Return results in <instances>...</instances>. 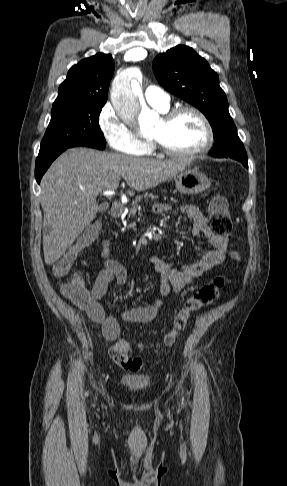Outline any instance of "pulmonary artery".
Listing matches in <instances>:
<instances>
[{"instance_id": "1", "label": "pulmonary artery", "mask_w": 287, "mask_h": 486, "mask_svg": "<svg viewBox=\"0 0 287 486\" xmlns=\"http://www.w3.org/2000/svg\"><path fill=\"white\" fill-rule=\"evenodd\" d=\"M146 101L159 110H166L170 105L169 95L161 88L151 85L144 92Z\"/></svg>"}]
</instances>
